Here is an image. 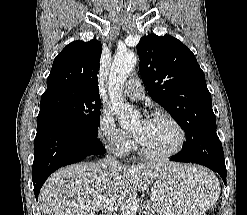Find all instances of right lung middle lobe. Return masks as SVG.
I'll use <instances>...</instances> for the list:
<instances>
[{"mask_svg":"<svg viewBox=\"0 0 247 215\" xmlns=\"http://www.w3.org/2000/svg\"><path fill=\"white\" fill-rule=\"evenodd\" d=\"M100 108V96L86 95L71 89H55L42 95L37 122L61 121L82 127L96 135Z\"/></svg>","mask_w":247,"mask_h":215,"instance_id":"dd1d6c3e","label":"right lung middle lobe"}]
</instances>
